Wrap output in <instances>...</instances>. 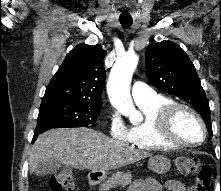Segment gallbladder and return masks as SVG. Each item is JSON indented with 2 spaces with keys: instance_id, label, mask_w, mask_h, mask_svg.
Wrapping results in <instances>:
<instances>
[{
  "instance_id": "bac80fb5",
  "label": "gallbladder",
  "mask_w": 221,
  "mask_h": 191,
  "mask_svg": "<svg viewBox=\"0 0 221 191\" xmlns=\"http://www.w3.org/2000/svg\"><path fill=\"white\" fill-rule=\"evenodd\" d=\"M61 168V163L55 159H47L42 161L35 169L37 176H44L47 174H53Z\"/></svg>"
}]
</instances>
